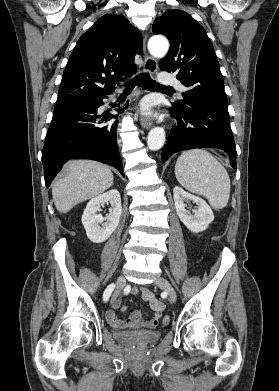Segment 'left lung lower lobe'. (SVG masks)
Here are the masks:
<instances>
[{"instance_id":"obj_1","label":"left lung lower lobe","mask_w":279,"mask_h":391,"mask_svg":"<svg viewBox=\"0 0 279 391\" xmlns=\"http://www.w3.org/2000/svg\"><path fill=\"white\" fill-rule=\"evenodd\" d=\"M170 112L178 123L163 148L162 162L182 150L219 148L228 153L236 170L237 152L227 112L200 101H187L184 106L172 103Z\"/></svg>"}]
</instances>
